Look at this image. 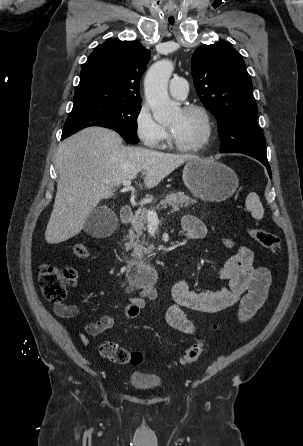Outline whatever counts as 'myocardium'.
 <instances>
[{
    "mask_svg": "<svg viewBox=\"0 0 303 446\" xmlns=\"http://www.w3.org/2000/svg\"><path fill=\"white\" fill-rule=\"evenodd\" d=\"M181 110L185 113H197L199 114L204 122L205 131L202 136V138L193 145H182L178 143L172 133L170 132V144L171 146L180 151V152H186V153H195L199 152L200 150L204 149L209 142L211 141V138L213 136V123L211 119V115L209 111L202 105L198 104H188L181 108Z\"/></svg>",
    "mask_w": 303,
    "mask_h": 446,
    "instance_id": "myocardium-1",
    "label": "myocardium"
}]
</instances>
